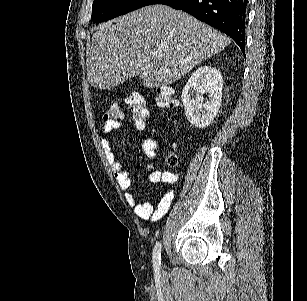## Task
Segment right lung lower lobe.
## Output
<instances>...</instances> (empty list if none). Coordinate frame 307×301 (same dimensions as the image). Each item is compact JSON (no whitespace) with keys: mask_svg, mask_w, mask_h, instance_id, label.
I'll return each instance as SVG.
<instances>
[{"mask_svg":"<svg viewBox=\"0 0 307 301\" xmlns=\"http://www.w3.org/2000/svg\"><path fill=\"white\" fill-rule=\"evenodd\" d=\"M183 10L229 35L245 54L248 0H150Z\"/></svg>","mask_w":307,"mask_h":301,"instance_id":"obj_1","label":"right lung lower lobe"}]
</instances>
